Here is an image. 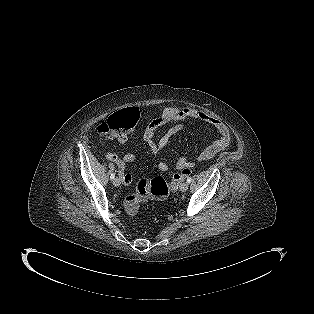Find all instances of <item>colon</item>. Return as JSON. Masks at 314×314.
Wrapping results in <instances>:
<instances>
[{"instance_id":"5ec220e1","label":"colon","mask_w":314,"mask_h":314,"mask_svg":"<svg viewBox=\"0 0 314 314\" xmlns=\"http://www.w3.org/2000/svg\"><path fill=\"white\" fill-rule=\"evenodd\" d=\"M139 120V111L136 107H127L112 114L99 126V133L102 136L124 135L135 128ZM191 173L190 167L183 168L173 176L171 186L162 178L144 177L136 185L134 193L124 199V208L127 214L135 216L142 203L149 198L164 200L170 193V189H176L181 181Z\"/></svg>"}]
</instances>
